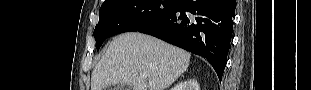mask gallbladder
<instances>
[{
  "label": "gallbladder",
  "mask_w": 311,
  "mask_h": 90,
  "mask_svg": "<svg viewBox=\"0 0 311 90\" xmlns=\"http://www.w3.org/2000/svg\"><path fill=\"white\" fill-rule=\"evenodd\" d=\"M131 87L129 85L126 84H119L117 86H115V88H113V90H130Z\"/></svg>",
  "instance_id": "obj_1"
}]
</instances>
